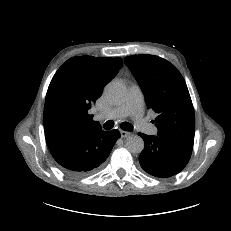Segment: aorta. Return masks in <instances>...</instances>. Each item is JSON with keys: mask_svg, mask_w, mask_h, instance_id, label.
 <instances>
[{"mask_svg": "<svg viewBox=\"0 0 231 231\" xmlns=\"http://www.w3.org/2000/svg\"><path fill=\"white\" fill-rule=\"evenodd\" d=\"M107 100L111 103H121L126 98V87L119 81H112L104 89ZM126 147L129 152L139 154L144 149V141L138 135H131L126 139Z\"/></svg>", "mask_w": 231, "mask_h": 231, "instance_id": "1", "label": "aorta"}]
</instances>
